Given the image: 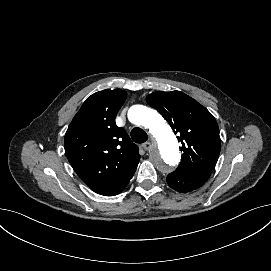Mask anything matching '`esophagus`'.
Segmentation results:
<instances>
[{"instance_id": "esophagus-1", "label": "esophagus", "mask_w": 271, "mask_h": 271, "mask_svg": "<svg viewBox=\"0 0 271 271\" xmlns=\"http://www.w3.org/2000/svg\"><path fill=\"white\" fill-rule=\"evenodd\" d=\"M154 146H155V144L153 142H145L142 144L143 149L147 150V151L153 149Z\"/></svg>"}]
</instances>
